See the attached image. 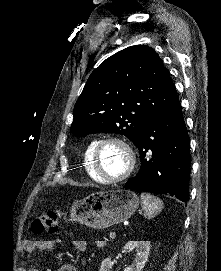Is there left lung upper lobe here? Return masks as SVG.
I'll list each match as a JSON object with an SVG mask.
<instances>
[{
	"mask_svg": "<svg viewBox=\"0 0 221 271\" xmlns=\"http://www.w3.org/2000/svg\"><path fill=\"white\" fill-rule=\"evenodd\" d=\"M174 83L149 46H130L107 58L88 78L74 107L71 132L118 133L136 141L142 126L176 98Z\"/></svg>",
	"mask_w": 221,
	"mask_h": 271,
	"instance_id": "obj_1",
	"label": "left lung upper lobe"
}]
</instances>
